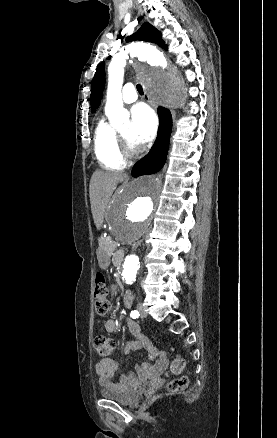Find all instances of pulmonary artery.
Returning a JSON list of instances; mask_svg holds the SVG:
<instances>
[{"label":"pulmonary artery","instance_id":"1","mask_svg":"<svg viewBox=\"0 0 277 438\" xmlns=\"http://www.w3.org/2000/svg\"><path fill=\"white\" fill-rule=\"evenodd\" d=\"M124 86H125V88L123 90L124 96L120 99V102L124 103V104H131V103L135 102L137 99V96H136L137 89L134 87L133 82L128 81L125 83ZM110 106H111V103L108 104L107 110L110 108Z\"/></svg>","mask_w":277,"mask_h":438}]
</instances>
